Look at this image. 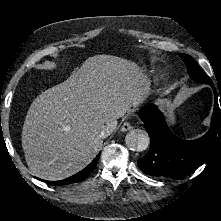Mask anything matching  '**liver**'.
Returning a JSON list of instances; mask_svg holds the SVG:
<instances>
[{
  "instance_id": "obj_1",
  "label": "liver",
  "mask_w": 221,
  "mask_h": 221,
  "mask_svg": "<svg viewBox=\"0 0 221 221\" xmlns=\"http://www.w3.org/2000/svg\"><path fill=\"white\" fill-rule=\"evenodd\" d=\"M149 91L150 80L135 62L104 54L88 58L32 102L22 130L30 173L56 181L83 169L102 148L103 127L116 128Z\"/></svg>"
}]
</instances>
